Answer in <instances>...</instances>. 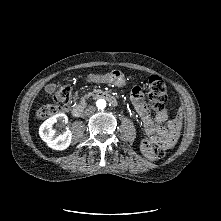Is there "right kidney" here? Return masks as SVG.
Returning <instances> with one entry per match:
<instances>
[{
	"mask_svg": "<svg viewBox=\"0 0 221 221\" xmlns=\"http://www.w3.org/2000/svg\"><path fill=\"white\" fill-rule=\"evenodd\" d=\"M57 122L67 124L68 117L64 113H59L48 118L40 126L39 135L50 148L55 150H64L71 143L72 133L67 127L61 132H57L56 129L53 128V125Z\"/></svg>",
	"mask_w": 221,
	"mask_h": 221,
	"instance_id": "1",
	"label": "right kidney"
}]
</instances>
